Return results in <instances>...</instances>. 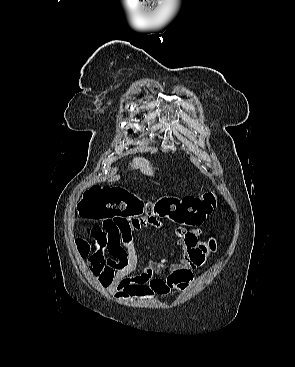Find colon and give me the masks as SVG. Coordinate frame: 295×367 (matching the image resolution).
<instances>
[{"label":"colon","instance_id":"1","mask_svg":"<svg viewBox=\"0 0 295 367\" xmlns=\"http://www.w3.org/2000/svg\"><path fill=\"white\" fill-rule=\"evenodd\" d=\"M215 203L212 192H204L198 197L160 198L154 204H144L134 194L120 186H93L88 189L77 205L79 214L87 219L102 222L135 219L147 211L152 218L177 221L191 227L200 226L211 213ZM92 236L103 245L101 228L92 230ZM78 249L83 257L89 256L92 270L97 274L103 268L101 250L90 254V245L85 240L78 241Z\"/></svg>","mask_w":295,"mask_h":367}]
</instances>
